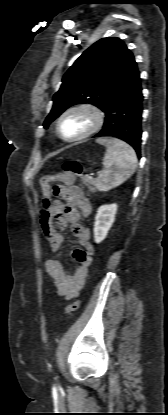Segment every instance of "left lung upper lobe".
<instances>
[{"instance_id":"obj_1","label":"left lung upper lobe","mask_w":168,"mask_h":415,"mask_svg":"<svg viewBox=\"0 0 168 415\" xmlns=\"http://www.w3.org/2000/svg\"><path fill=\"white\" fill-rule=\"evenodd\" d=\"M137 69L131 51L119 38H103L74 62L53 97L44 127L75 104L90 103L105 110L114 95Z\"/></svg>"}]
</instances>
